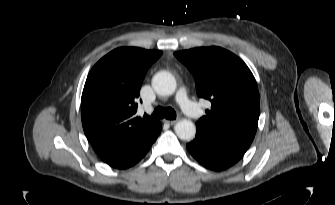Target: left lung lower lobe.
Listing matches in <instances>:
<instances>
[{"label":"left lung lower lobe","instance_id":"1","mask_svg":"<svg viewBox=\"0 0 335 205\" xmlns=\"http://www.w3.org/2000/svg\"><path fill=\"white\" fill-rule=\"evenodd\" d=\"M186 147L203 166L221 171L239 161L249 145L227 140L196 127V138Z\"/></svg>","mask_w":335,"mask_h":205}]
</instances>
